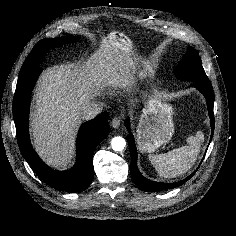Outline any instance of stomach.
I'll return each instance as SVG.
<instances>
[{"label": "stomach", "instance_id": "obj_1", "mask_svg": "<svg viewBox=\"0 0 236 236\" xmlns=\"http://www.w3.org/2000/svg\"><path fill=\"white\" fill-rule=\"evenodd\" d=\"M109 39L123 50L130 46V40L119 32H112ZM142 69L139 77L150 73V65L141 61ZM173 107L160 95L155 94L147 98L145 107L136 127V137L142 152H154L163 144L168 143L174 134Z\"/></svg>", "mask_w": 236, "mask_h": 236}]
</instances>
